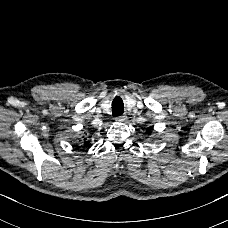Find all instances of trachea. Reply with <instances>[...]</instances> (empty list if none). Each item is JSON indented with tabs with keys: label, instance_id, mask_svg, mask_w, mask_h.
I'll return each instance as SVG.
<instances>
[{
	"label": "trachea",
	"instance_id": "trachea-1",
	"mask_svg": "<svg viewBox=\"0 0 228 228\" xmlns=\"http://www.w3.org/2000/svg\"><path fill=\"white\" fill-rule=\"evenodd\" d=\"M112 112L113 116L117 117L124 112V104L120 98H115L112 102Z\"/></svg>",
	"mask_w": 228,
	"mask_h": 228
}]
</instances>
